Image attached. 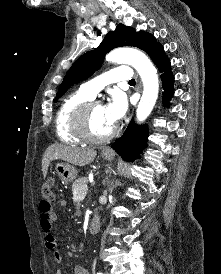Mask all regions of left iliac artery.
Wrapping results in <instances>:
<instances>
[{
    "label": "left iliac artery",
    "instance_id": "left-iliac-artery-1",
    "mask_svg": "<svg viewBox=\"0 0 221 274\" xmlns=\"http://www.w3.org/2000/svg\"><path fill=\"white\" fill-rule=\"evenodd\" d=\"M97 274H103V273H101V272H98Z\"/></svg>",
    "mask_w": 221,
    "mask_h": 274
}]
</instances>
